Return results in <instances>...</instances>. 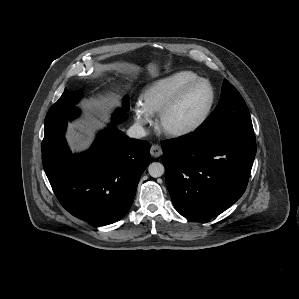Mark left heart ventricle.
I'll return each instance as SVG.
<instances>
[{"label": "left heart ventricle", "mask_w": 299, "mask_h": 299, "mask_svg": "<svg viewBox=\"0 0 299 299\" xmlns=\"http://www.w3.org/2000/svg\"><path fill=\"white\" fill-rule=\"evenodd\" d=\"M210 100L207 85L200 84L190 89L180 102L168 113L165 126L183 128L196 122L205 111Z\"/></svg>", "instance_id": "b2bd125f"}]
</instances>
